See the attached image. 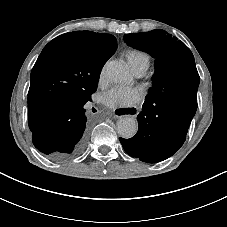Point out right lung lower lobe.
Instances as JSON below:
<instances>
[{"label":"right lung lower lobe","instance_id":"1","mask_svg":"<svg viewBox=\"0 0 227 227\" xmlns=\"http://www.w3.org/2000/svg\"><path fill=\"white\" fill-rule=\"evenodd\" d=\"M90 95L64 102L52 123L33 134L34 146L53 161L69 160L83 149L87 139L84 105Z\"/></svg>","mask_w":227,"mask_h":227}]
</instances>
